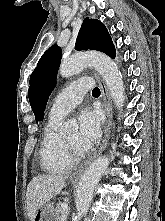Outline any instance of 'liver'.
Wrapping results in <instances>:
<instances>
[{
  "label": "liver",
  "mask_w": 165,
  "mask_h": 221,
  "mask_svg": "<svg viewBox=\"0 0 165 221\" xmlns=\"http://www.w3.org/2000/svg\"><path fill=\"white\" fill-rule=\"evenodd\" d=\"M68 177V175H38L29 182L26 201L30 221H34L37 211L61 192Z\"/></svg>",
  "instance_id": "6515ba94"
}]
</instances>
